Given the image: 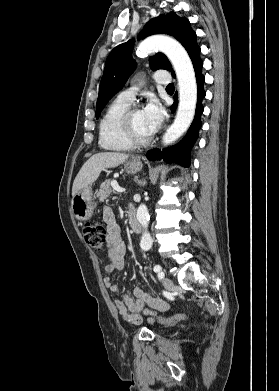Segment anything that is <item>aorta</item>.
Wrapping results in <instances>:
<instances>
[{
    "instance_id": "obj_1",
    "label": "aorta",
    "mask_w": 279,
    "mask_h": 391,
    "mask_svg": "<svg viewBox=\"0 0 279 391\" xmlns=\"http://www.w3.org/2000/svg\"><path fill=\"white\" fill-rule=\"evenodd\" d=\"M160 50L170 60L178 79L179 105L173 124L165 132L162 142L168 145L180 138L193 121L197 103V84L191 59L184 47L176 40L166 36H151L142 41L137 55L144 57ZM137 220L144 229L140 247L149 250L153 240L148 232L149 213L147 206L141 204L137 209Z\"/></svg>"
}]
</instances>
